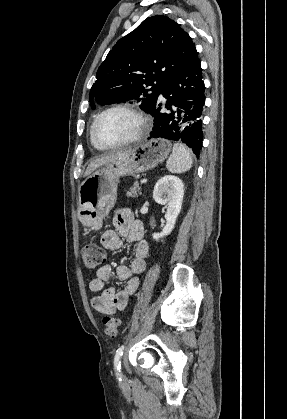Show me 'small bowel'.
Instances as JSON below:
<instances>
[{
	"mask_svg": "<svg viewBox=\"0 0 287 419\" xmlns=\"http://www.w3.org/2000/svg\"><path fill=\"white\" fill-rule=\"evenodd\" d=\"M114 229L106 230L101 236V244L110 250H117L122 246L121 237L128 243L135 244L130 255L129 265H119L116 268V277L126 281L123 289L117 291L113 287H105V282L111 278L112 267L104 265L96 272V277L90 281V290L100 292L92 299L93 308L101 314H114L116 310L124 309L130 296L139 286L138 276L146 267V256L149 248L143 240L144 230L142 223L136 220L133 213L126 208L116 210L113 216Z\"/></svg>",
	"mask_w": 287,
	"mask_h": 419,
	"instance_id": "1",
	"label": "small bowel"
}]
</instances>
